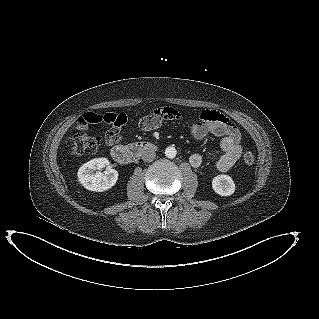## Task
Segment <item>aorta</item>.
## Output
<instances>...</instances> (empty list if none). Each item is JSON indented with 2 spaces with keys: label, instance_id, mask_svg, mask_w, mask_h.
<instances>
[{
  "label": "aorta",
  "instance_id": "1",
  "mask_svg": "<svg viewBox=\"0 0 319 319\" xmlns=\"http://www.w3.org/2000/svg\"><path fill=\"white\" fill-rule=\"evenodd\" d=\"M177 151L173 146L167 147L165 149V156L167 158L173 159L176 157Z\"/></svg>",
  "mask_w": 319,
  "mask_h": 319
}]
</instances>
